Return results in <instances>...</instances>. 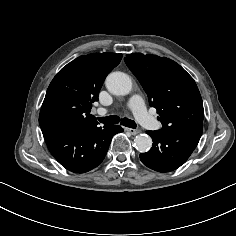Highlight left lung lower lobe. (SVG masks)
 Here are the masks:
<instances>
[{
	"label": "left lung lower lobe",
	"mask_w": 236,
	"mask_h": 236,
	"mask_svg": "<svg viewBox=\"0 0 236 236\" xmlns=\"http://www.w3.org/2000/svg\"><path fill=\"white\" fill-rule=\"evenodd\" d=\"M202 132L203 129L187 127L147 131L153 140V145L147 153L140 154V159L144 165L155 171H173L189 158Z\"/></svg>",
	"instance_id": "left-lung-lower-lobe-1"
}]
</instances>
